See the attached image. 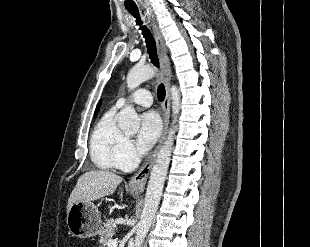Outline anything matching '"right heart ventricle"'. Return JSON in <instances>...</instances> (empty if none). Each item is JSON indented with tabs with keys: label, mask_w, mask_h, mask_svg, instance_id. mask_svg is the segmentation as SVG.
I'll list each match as a JSON object with an SVG mask.
<instances>
[{
	"label": "right heart ventricle",
	"mask_w": 310,
	"mask_h": 247,
	"mask_svg": "<svg viewBox=\"0 0 310 247\" xmlns=\"http://www.w3.org/2000/svg\"><path fill=\"white\" fill-rule=\"evenodd\" d=\"M124 133L116 123V108L107 110L95 125L90 137V157L96 167L113 170L120 167Z\"/></svg>",
	"instance_id": "e07e8e85"
}]
</instances>
